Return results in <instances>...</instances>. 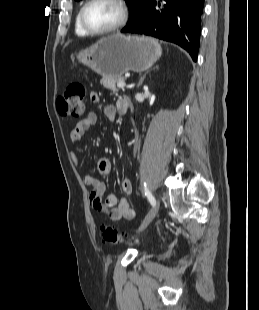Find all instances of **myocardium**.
Returning <instances> with one entry per match:
<instances>
[{"label":"myocardium","mask_w":259,"mask_h":310,"mask_svg":"<svg viewBox=\"0 0 259 310\" xmlns=\"http://www.w3.org/2000/svg\"><path fill=\"white\" fill-rule=\"evenodd\" d=\"M95 1L96 0H87L79 11L80 25L88 35H92V36L108 35V34L121 30L127 24L128 19H129V7L127 3L125 2V0H111L120 9L121 14H120V19L118 20V22L112 25L111 27H108L103 30H95L91 28L85 21V11L87 7Z\"/></svg>","instance_id":"obj_1"}]
</instances>
